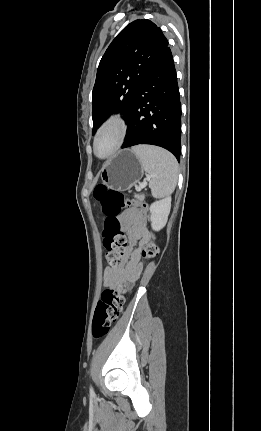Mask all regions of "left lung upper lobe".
<instances>
[{
  "label": "left lung upper lobe",
  "instance_id": "left-lung-upper-lobe-1",
  "mask_svg": "<svg viewBox=\"0 0 261 431\" xmlns=\"http://www.w3.org/2000/svg\"><path fill=\"white\" fill-rule=\"evenodd\" d=\"M168 47L161 29L150 20L127 25L104 53L92 92L93 133L113 112L127 120L149 69Z\"/></svg>",
  "mask_w": 261,
  "mask_h": 431
}]
</instances>
